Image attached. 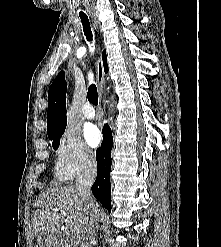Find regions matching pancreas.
I'll return each mask as SVG.
<instances>
[{"instance_id": "cf45deb5", "label": "pancreas", "mask_w": 221, "mask_h": 247, "mask_svg": "<svg viewBox=\"0 0 221 247\" xmlns=\"http://www.w3.org/2000/svg\"><path fill=\"white\" fill-rule=\"evenodd\" d=\"M62 247H70L68 243H63V246Z\"/></svg>"}]
</instances>
